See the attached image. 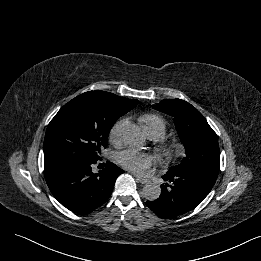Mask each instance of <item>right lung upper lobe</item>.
<instances>
[{
	"instance_id": "obj_1",
	"label": "right lung upper lobe",
	"mask_w": 261,
	"mask_h": 261,
	"mask_svg": "<svg viewBox=\"0 0 261 261\" xmlns=\"http://www.w3.org/2000/svg\"><path fill=\"white\" fill-rule=\"evenodd\" d=\"M80 96L92 98L97 103H99L100 106L109 111L117 110L122 107H132L135 101L133 99L119 97L113 93L105 91H89L81 94Z\"/></svg>"
}]
</instances>
